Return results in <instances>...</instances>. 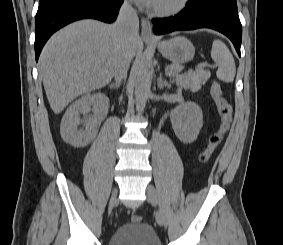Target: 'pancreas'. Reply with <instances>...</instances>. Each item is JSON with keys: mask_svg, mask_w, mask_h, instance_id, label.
Wrapping results in <instances>:
<instances>
[{"mask_svg": "<svg viewBox=\"0 0 283 245\" xmlns=\"http://www.w3.org/2000/svg\"><path fill=\"white\" fill-rule=\"evenodd\" d=\"M182 69V66L172 64L168 66L167 73L173 78V82H176L179 87L185 90L189 89L192 92H197L210 78V72L204 69H196L195 71L180 74Z\"/></svg>", "mask_w": 283, "mask_h": 245, "instance_id": "obj_1", "label": "pancreas"}]
</instances>
